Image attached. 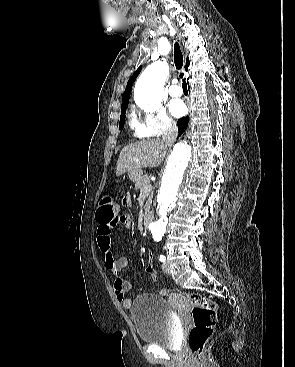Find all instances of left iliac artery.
Listing matches in <instances>:
<instances>
[{"label": "left iliac artery", "mask_w": 295, "mask_h": 367, "mask_svg": "<svg viewBox=\"0 0 295 367\" xmlns=\"http://www.w3.org/2000/svg\"><path fill=\"white\" fill-rule=\"evenodd\" d=\"M159 260H160L161 262H165V261H166V257H165L164 255H160V256H159Z\"/></svg>", "instance_id": "left-iliac-artery-1"}]
</instances>
